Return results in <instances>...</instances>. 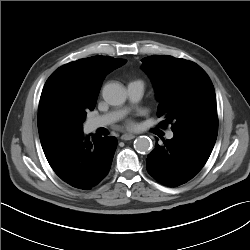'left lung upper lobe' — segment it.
Listing matches in <instances>:
<instances>
[{
	"label": "left lung upper lobe",
	"instance_id": "left-lung-upper-lobe-1",
	"mask_svg": "<svg viewBox=\"0 0 250 250\" xmlns=\"http://www.w3.org/2000/svg\"><path fill=\"white\" fill-rule=\"evenodd\" d=\"M156 90L158 117L173 132L218 128L213 84L196 63L172 56L153 55L141 60Z\"/></svg>",
	"mask_w": 250,
	"mask_h": 250
}]
</instances>
